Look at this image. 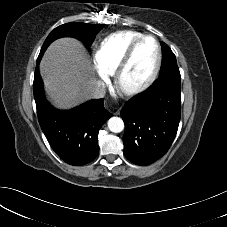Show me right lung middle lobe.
<instances>
[{"instance_id": "dd1d6c3e", "label": "right lung middle lobe", "mask_w": 227, "mask_h": 227, "mask_svg": "<svg viewBox=\"0 0 227 227\" xmlns=\"http://www.w3.org/2000/svg\"><path fill=\"white\" fill-rule=\"evenodd\" d=\"M102 24H87L71 22L58 26L46 38L41 51L40 58L43 56L47 47L56 39L61 37H74L90 46L97 33L103 28Z\"/></svg>"}]
</instances>
